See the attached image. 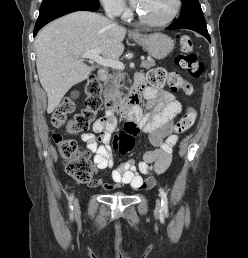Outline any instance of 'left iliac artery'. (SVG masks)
<instances>
[{
    "label": "left iliac artery",
    "mask_w": 248,
    "mask_h": 258,
    "mask_svg": "<svg viewBox=\"0 0 248 258\" xmlns=\"http://www.w3.org/2000/svg\"><path fill=\"white\" fill-rule=\"evenodd\" d=\"M159 191H160V197H161V209H162L165 213H167V211H168V199H167V195H166L165 191H164L162 188H160Z\"/></svg>",
    "instance_id": "left-iliac-artery-1"
}]
</instances>
